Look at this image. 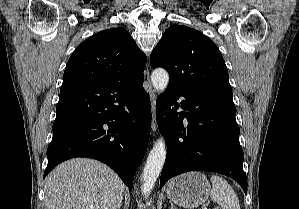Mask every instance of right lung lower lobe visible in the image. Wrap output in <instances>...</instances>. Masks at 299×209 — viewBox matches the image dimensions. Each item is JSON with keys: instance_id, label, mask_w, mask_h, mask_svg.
I'll use <instances>...</instances> for the list:
<instances>
[{"instance_id": "1", "label": "right lung lower lobe", "mask_w": 299, "mask_h": 209, "mask_svg": "<svg viewBox=\"0 0 299 209\" xmlns=\"http://www.w3.org/2000/svg\"><path fill=\"white\" fill-rule=\"evenodd\" d=\"M56 112L44 178L65 160L88 157L111 167L132 189L150 136L151 103L143 82L61 88Z\"/></svg>"}]
</instances>
